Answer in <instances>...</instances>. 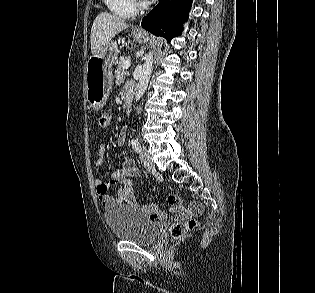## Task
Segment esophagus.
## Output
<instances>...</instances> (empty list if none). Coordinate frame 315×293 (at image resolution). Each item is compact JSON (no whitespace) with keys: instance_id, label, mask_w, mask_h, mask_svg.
<instances>
[{"instance_id":"obj_1","label":"esophagus","mask_w":315,"mask_h":293,"mask_svg":"<svg viewBox=\"0 0 315 293\" xmlns=\"http://www.w3.org/2000/svg\"><path fill=\"white\" fill-rule=\"evenodd\" d=\"M137 31H141V30L137 28Z\"/></svg>"}]
</instances>
